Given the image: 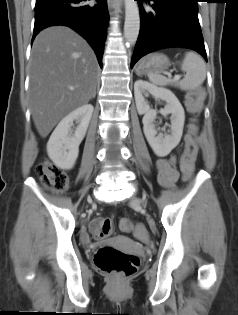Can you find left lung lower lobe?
Returning a JSON list of instances; mask_svg holds the SVG:
<instances>
[{"label":"left lung lower lobe","mask_w":238,"mask_h":315,"mask_svg":"<svg viewBox=\"0 0 238 315\" xmlns=\"http://www.w3.org/2000/svg\"><path fill=\"white\" fill-rule=\"evenodd\" d=\"M154 1L152 10L140 4V33L131 68L144 55L163 48L184 47L197 51L205 60L206 50L198 20V0Z\"/></svg>","instance_id":"obj_1"}]
</instances>
